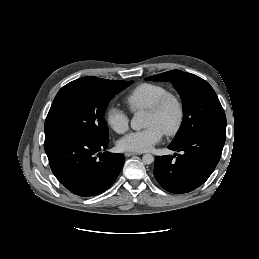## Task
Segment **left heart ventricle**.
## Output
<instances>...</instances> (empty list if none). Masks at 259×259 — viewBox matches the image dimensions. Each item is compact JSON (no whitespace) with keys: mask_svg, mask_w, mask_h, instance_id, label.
Listing matches in <instances>:
<instances>
[{"mask_svg":"<svg viewBox=\"0 0 259 259\" xmlns=\"http://www.w3.org/2000/svg\"><path fill=\"white\" fill-rule=\"evenodd\" d=\"M176 117L175 107L172 104H169L165 110L160 115H153L151 113H147L145 126L156 125L162 131L166 128L170 127Z\"/></svg>","mask_w":259,"mask_h":259,"instance_id":"obj_1","label":"left heart ventricle"}]
</instances>
